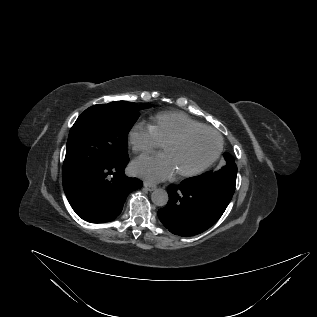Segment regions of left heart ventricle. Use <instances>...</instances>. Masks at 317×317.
<instances>
[{
    "label": "left heart ventricle",
    "mask_w": 317,
    "mask_h": 317,
    "mask_svg": "<svg viewBox=\"0 0 317 317\" xmlns=\"http://www.w3.org/2000/svg\"><path fill=\"white\" fill-rule=\"evenodd\" d=\"M217 147L218 138L214 134L200 132L190 135L179 144L166 147L163 153L178 173L199 167L214 154Z\"/></svg>",
    "instance_id": "b2bd125f"
}]
</instances>
